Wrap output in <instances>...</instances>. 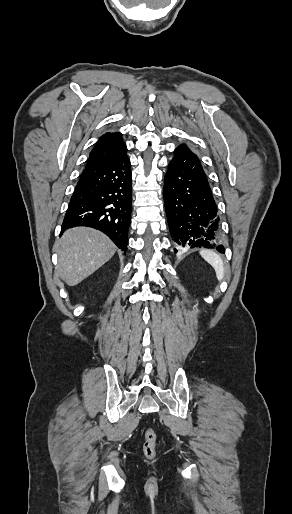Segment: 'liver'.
Here are the masks:
<instances>
[{"label":"liver","instance_id":"liver-1","mask_svg":"<svg viewBox=\"0 0 292 514\" xmlns=\"http://www.w3.org/2000/svg\"><path fill=\"white\" fill-rule=\"evenodd\" d=\"M55 250L58 276L68 286H77L114 256L116 246L98 230L72 228L64 232Z\"/></svg>","mask_w":292,"mask_h":514}]
</instances>
